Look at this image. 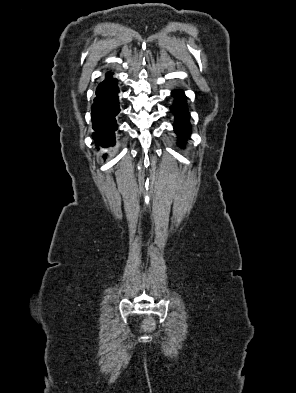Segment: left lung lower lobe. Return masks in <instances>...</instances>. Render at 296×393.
<instances>
[{"instance_id":"obj_1","label":"left lung lower lobe","mask_w":296,"mask_h":393,"mask_svg":"<svg viewBox=\"0 0 296 393\" xmlns=\"http://www.w3.org/2000/svg\"><path fill=\"white\" fill-rule=\"evenodd\" d=\"M172 96L175 97V102L171 106V112L175 115L176 122L174 124L175 132L180 135L179 145L182 147L183 142L190 134L189 113L185 101V96L182 90H174Z\"/></svg>"}]
</instances>
